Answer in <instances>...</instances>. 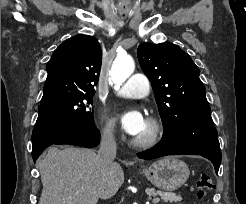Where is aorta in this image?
<instances>
[{
  "mask_svg": "<svg viewBox=\"0 0 246 204\" xmlns=\"http://www.w3.org/2000/svg\"><path fill=\"white\" fill-rule=\"evenodd\" d=\"M134 69L135 63L131 56H117L110 71L111 81L116 85H121L134 72Z\"/></svg>",
  "mask_w": 246,
  "mask_h": 204,
  "instance_id": "1",
  "label": "aorta"
}]
</instances>
